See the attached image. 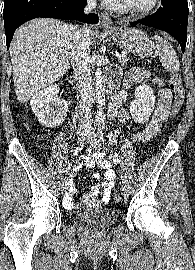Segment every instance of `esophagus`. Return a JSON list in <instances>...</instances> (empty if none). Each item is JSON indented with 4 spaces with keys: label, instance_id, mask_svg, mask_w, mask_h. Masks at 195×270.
Instances as JSON below:
<instances>
[{
    "label": "esophagus",
    "instance_id": "1",
    "mask_svg": "<svg viewBox=\"0 0 195 270\" xmlns=\"http://www.w3.org/2000/svg\"><path fill=\"white\" fill-rule=\"evenodd\" d=\"M101 24L104 28L106 29H112V19L111 17L105 13V12H102L101 13Z\"/></svg>",
    "mask_w": 195,
    "mask_h": 270
}]
</instances>
